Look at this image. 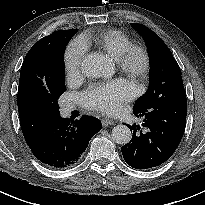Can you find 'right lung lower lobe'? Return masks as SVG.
<instances>
[{
  "mask_svg": "<svg viewBox=\"0 0 205 205\" xmlns=\"http://www.w3.org/2000/svg\"><path fill=\"white\" fill-rule=\"evenodd\" d=\"M101 129L91 116L71 122L58 116L48 124L29 146L34 156L53 168H67L78 162L90 139Z\"/></svg>",
  "mask_w": 205,
  "mask_h": 205,
  "instance_id": "right-lung-lower-lobe-1",
  "label": "right lung lower lobe"
}]
</instances>
